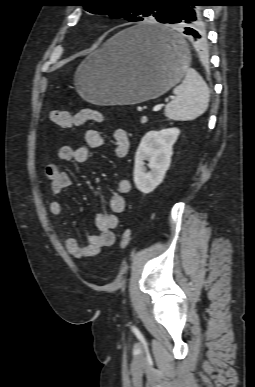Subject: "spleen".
Here are the masks:
<instances>
[{"instance_id": "spleen-1", "label": "spleen", "mask_w": 255, "mask_h": 387, "mask_svg": "<svg viewBox=\"0 0 255 387\" xmlns=\"http://www.w3.org/2000/svg\"><path fill=\"white\" fill-rule=\"evenodd\" d=\"M182 84L174 88L175 99L166 105L165 115L175 121H190L208 108L210 91L193 68L186 69Z\"/></svg>"}]
</instances>
